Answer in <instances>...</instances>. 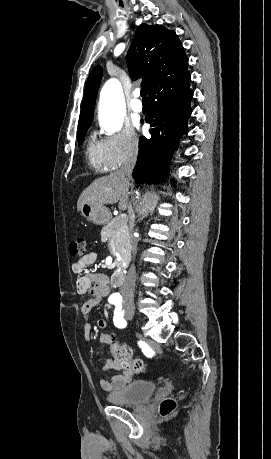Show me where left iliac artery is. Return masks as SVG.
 Segmentation results:
<instances>
[{
	"instance_id": "left-iliac-artery-1",
	"label": "left iliac artery",
	"mask_w": 271,
	"mask_h": 459,
	"mask_svg": "<svg viewBox=\"0 0 271 459\" xmlns=\"http://www.w3.org/2000/svg\"><path fill=\"white\" fill-rule=\"evenodd\" d=\"M125 314V309L123 307H119L116 305V309L114 312V324L118 328H124L126 327V321L124 320L123 316Z\"/></svg>"
}]
</instances>
